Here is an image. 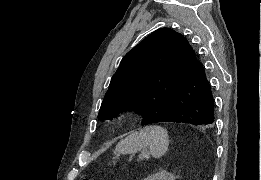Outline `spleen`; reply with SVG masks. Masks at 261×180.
Here are the masks:
<instances>
[{"label": "spleen", "instance_id": "obj_1", "mask_svg": "<svg viewBox=\"0 0 261 180\" xmlns=\"http://www.w3.org/2000/svg\"><path fill=\"white\" fill-rule=\"evenodd\" d=\"M169 146L167 130L161 126H146L140 132L130 134L124 140H120L115 148L114 154H136L148 148L152 158L165 156Z\"/></svg>", "mask_w": 261, "mask_h": 180}]
</instances>
